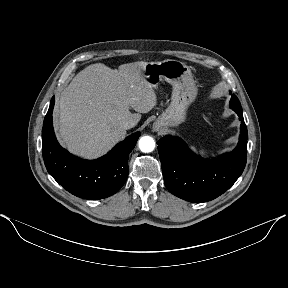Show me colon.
Here are the masks:
<instances>
[{
  "label": "colon",
  "instance_id": "5ec220e1",
  "mask_svg": "<svg viewBox=\"0 0 288 288\" xmlns=\"http://www.w3.org/2000/svg\"><path fill=\"white\" fill-rule=\"evenodd\" d=\"M213 118H214L213 113H212V112H208V113H207V116H206V119H207L208 121H212Z\"/></svg>",
  "mask_w": 288,
  "mask_h": 288
}]
</instances>
